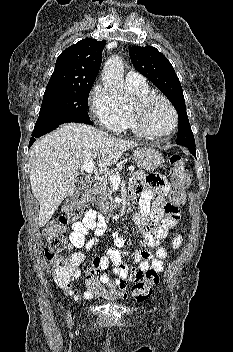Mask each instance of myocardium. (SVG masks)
<instances>
[{
	"label": "myocardium",
	"mask_w": 233,
	"mask_h": 352,
	"mask_svg": "<svg viewBox=\"0 0 233 352\" xmlns=\"http://www.w3.org/2000/svg\"><path fill=\"white\" fill-rule=\"evenodd\" d=\"M156 99L162 100L168 106L173 117L171 128L164 133L150 132L146 129L143 123V113L145 108L149 105V103H151L153 100H156ZM129 114H130L133 130L137 134L148 139L166 138L175 131L178 125V113L174 105L166 96L158 93H148L146 95L138 97L136 100L135 107L129 110Z\"/></svg>",
	"instance_id": "myocardium-1"
}]
</instances>
